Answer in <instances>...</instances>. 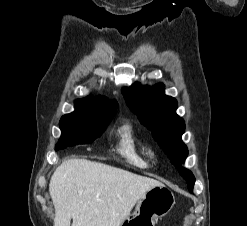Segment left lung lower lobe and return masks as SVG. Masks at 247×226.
<instances>
[{
	"label": "left lung lower lobe",
	"instance_id": "1",
	"mask_svg": "<svg viewBox=\"0 0 247 226\" xmlns=\"http://www.w3.org/2000/svg\"><path fill=\"white\" fill-rule=\"evenodd\" d=\"M192 176H193V174H192ZM194 177V176H193ZM194 182H195V180H194ZM194 182L192 183V184H188V189H189V191L192 193V190H193V185H194Z\"/></svg>",
	"mask_w": 247,
	"mask_h": 226
}]
</instances>
